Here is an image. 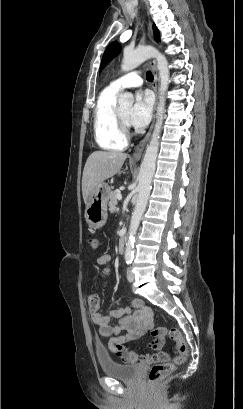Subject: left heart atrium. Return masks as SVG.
<instances>
[{"mask_svg":"<svg viewBox=\"0 0 243 409\" xmlns=\"http://www.w3.org/2000/svg\"><path fill=\"white\" fill-rule=\"evenodd\" d=\"M152 115V99L147 92H140L136 96L135 103L131 107L127 123L135 128L145 127Z\"/></svg>","mask_w":243,"mask_h":409,"instance_id":"1","label":"left heart atrium"}]
</instances>
